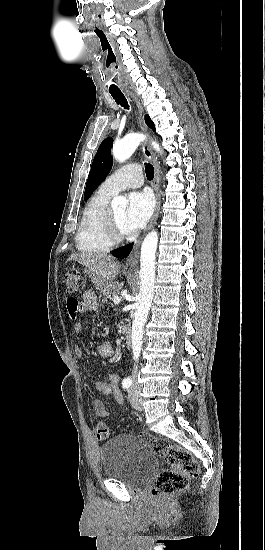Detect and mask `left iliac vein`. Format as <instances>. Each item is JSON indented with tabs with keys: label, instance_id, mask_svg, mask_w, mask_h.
Wrapping results in <instances>:
<instances>
[{
	"label": "left iliac vein",
	"instance_id": "1",
	"mask_svg": "<svg viewBox=\"0 0 265 550\" xmlns=\"http://www.w3.org/2000/svg\"><path fill=\"white\" fill-rule=\"evenodd\" d=\"M128 396H129V401H130L131 406L134 409L141 411L142 406H141V403L139 401V395H138L137 391H135L133 388H130L129 391H128Z\"/></svg>",
	"mask_w": 265,
	"mask_h": 550
}]
</instances>
